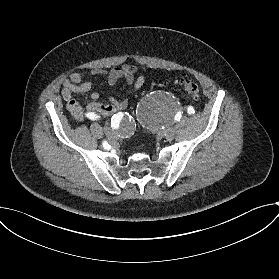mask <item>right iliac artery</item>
<instances>
[{
	"label": "right iliac artery",
	"instance_id": "82829eb1",
	"mask_svg": "<svg viewBox=\"0 0 279 279\" xmlns=\"http://www.w3.org/2000/svg\"><path fill=\"white\" fill-rule=\"evenodd\" d=\"M85 117H87V118H89L90 117V119H94V120H96V121H99V120H101V115H99V114H93V112H89V111H87V112H85ZM124 124H125V121H124V119L123 118H121V117H119V115L117 114V115H114L113 117H112V119H111V127L113 128V129H116V128H121V127H123L124 126Z\"/></svg>",
	"mask_w": 279,
	"mask_h": 279
}]
</instances>
